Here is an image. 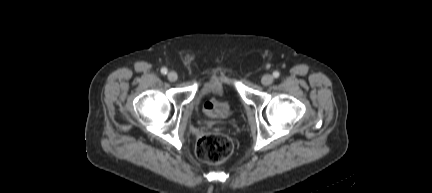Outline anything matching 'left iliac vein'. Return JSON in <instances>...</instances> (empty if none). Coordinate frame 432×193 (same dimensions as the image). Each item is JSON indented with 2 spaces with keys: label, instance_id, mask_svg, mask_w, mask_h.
I'll return each mask as SVG.
<instances>
[{
  "label": "left iliac vein",
  "instance_id": "1",
  "mask_svg": "<svg viewBox=\"0 0 432 193\" xmlns=\"http://www.w3.org/2000/svg\"><path fill=\"white\" fill-rule=\"evenodd\" d=\"M273 81H274V78L270 74H265L261 78V82H262L263 85H270V84L273 83Z\"/></svg>",
  "mask_w": 432,
  "mask_h": 193
}]
</instances>
